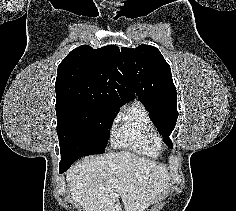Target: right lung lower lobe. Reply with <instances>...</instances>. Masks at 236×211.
Segmentation results:
<instances>
[{
    "mask_svg": "<svg viewBox=\"0 0 236 211\" xmlns=\"http://www.w3.org/2000/svg\"><path fill=\"white\" fill-rule=\"evenodd\" d=\"M91 154L87 153H75L61 158L59 173H63L70 168V166L79 158Z\"/></svg>",
    "mask_w": 236,
    "mask_h": 211,
    "instance_id": "98d812e1",
    "label": "right lung lower lobe"
}]
</instances>
